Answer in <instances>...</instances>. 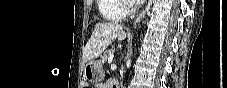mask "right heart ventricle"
<instances>
[{"label":"right heart ventricle","instance_id":"obj_1","mask_svg":"<svg viewBox=\"0 0 227 88\" xmlns=\"http://www.w3.org/2000/svg\"><path fill=\"white\" fill-rule=\"evenodd\" d=\"M124 0H97L98 11L103 19L108 21H120L125 13L121 9Z\"/></svg>","mask_w":227,"mask_h":88}]
</instances>
